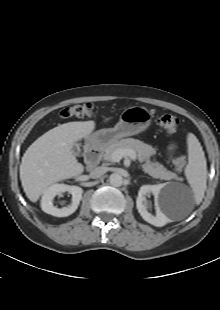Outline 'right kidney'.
Returning a JSON list of instances; mask_svg holds the SVG:
<instances>
[{"instance_id":"ca27d5eb","label":"right kidney","mask_w":220,"mask_h":310,"mask_svg":"<svg viewBox=\"0 0 220 310\" xmlns=\"http://www.w3.org/2000/svg\"><path fill=\"white\" fill-rule=\"evenodd\" d=\"M64 192L72 194L71 204L61 209L53 206L54 197ZM82 193V188L78 186L57 183L53 184L44 191L41 199V208L47 214L56 217H67L77 210L80 200L82 199Z\"/></svg>"}]
</instances>
